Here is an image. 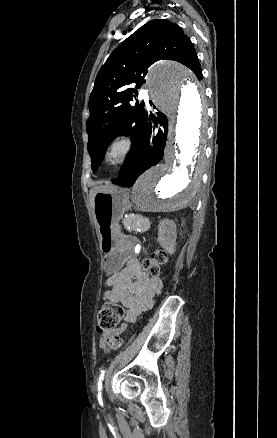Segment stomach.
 Masks as SVG:
<instances>
[{"label": "stomach", "instance_id": "obj_1", "mask_svg": "<svg viewBox=\"0 0 277 438\" xmlns=\"http://www.w3.org/2000/svg\"><path fill=\"white\" fill-rule=\"evenodd\" d=\"M93 204L100 250L104 253V270L112 274L127 262L133 246L131 238L117 227L130 209L129 195L126 189L114 187L96 193Z\"/></svg>", "mask_w": 277, "mask_h": 438}]
</instances>
